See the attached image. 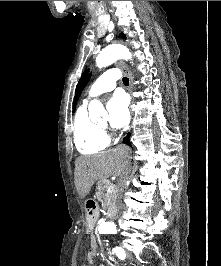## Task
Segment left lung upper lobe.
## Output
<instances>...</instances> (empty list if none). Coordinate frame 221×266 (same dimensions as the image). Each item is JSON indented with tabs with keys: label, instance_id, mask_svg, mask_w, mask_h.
Instances as JSON below:
<instances>
[{
	"label": "left lung upper lobe",
	"instance_id": "1",
	"mask_svg": "<svg viewBox=\"0 0 221 266\" xmlns=\"http://www.w3.org/2000/svg\"><path fill=\"white\" fill-rule=\"evenodd\" d=\"M121 36L125 38V35L122 33ZM91 73H89V70L84 71L82 74L77 86H76V91H75V98H74V104H73V111H75V106L77 104V101L79 99V96L81 95L82 90L88 83L90 79Z\"/></svg>",
	"mask_w": 221,
	"mask_h": 266
}]
</instances>
